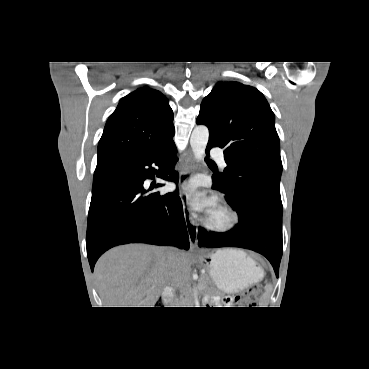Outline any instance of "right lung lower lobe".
Returning a JSON list of instances; mask_svg holds the SVG:
<instances>
[{
    "label": "right lung lower lobe",
    "mask_w": 369,
    "mask_h": 369,
    "mask_svg": "<svg viewBox=\"0 0 369 369\" xmlns=\"http://www.w3.org/2000/svg\"><path fill=\"white\" fill-rule=\"evenodd\" d=\"M173 138L146 152L113 163L95 175L88 214L87 256L93 271L97 259L108 249L127 243L172 245L189 249L182 202L178 191L150 193L143 184L158 177L178 182ZM159 167V172L151 167Z\"/></svg>",
    "instance_id": "98d812e1"
}]
</instances>
